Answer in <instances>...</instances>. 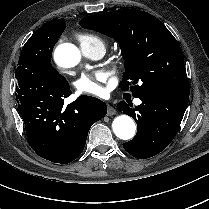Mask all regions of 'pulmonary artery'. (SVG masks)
<instances>
[{
  "label": "pulmonary artery",
  "mask_w": 209,
  "mask_h": 209,
  "mask_svg": "<svg viewBox=\"0 0 209 209\" xmlns=\"http://www.w3.org/2000/svg\"><path fill=\"white\" fill-rule=\"evenodd\" d=\"M82 50L87 56L95 60L102 58L105 53L104 48L101 46L91 48V49H82ZM134 103L138 105L141 103V101L139 99H134Z\"/></svg>",
  "instance_id": "pulmonary-artery-1"
}]
</instances>
